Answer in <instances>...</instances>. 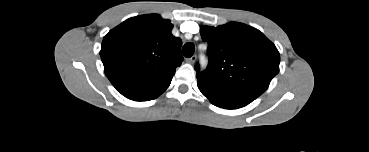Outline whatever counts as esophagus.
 Segmentation results:
<instances>
[{
	"label": "esophagus",
	"instance_id": "esophagus-1",
	"mask_svg": "<svg viewBox=\"0 0 369 152\" xmlns=\"http://www.w3.org/2000/svg\"><path fill=\"white\" fill-rule=\"evenodd\" d=\"M196 58H197L196 55H193L192 57L187 59V62L190 64H194L196 61Z\"/></svg>",
	"mask_w": 369,
	"mask_h": 152
}]
</instances>
